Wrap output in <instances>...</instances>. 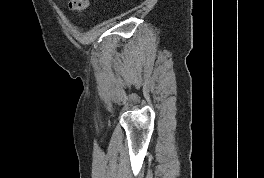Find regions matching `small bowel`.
<instances>
[{"mask_svg":"<svg viewBox=\"0 0 264 178\" xmlns=\"http://www.w3.org/2000/svg\"><path fill=\"white\" fill-rule=\"evenodd\" d=\"M89 5V0H70L69 8L73 11H81L87 8Z\"/></svg>","mask_w":264,"mask_h":178,"instance_id":"c3829d8e","label":"small bowel"}]
</instances>
